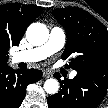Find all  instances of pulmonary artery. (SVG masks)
<instances>
[{
  "label": "pulmonary artery",
  "instance_id": "obj_1",
  "mask_svg": "<svg viewBox=\"0 0 108 108\" xmlns=\"http://www.w3.org/2000/svg\"><path fill=\"white\" fill-rule=\"evenodd\" d=\"M65 43V32L59 27H53L50 31L48 41L39 47L21 51L13 54L12 61L14 63L18 62H38L50 55L59 51ZM77 75L76 71L70 73V78H74Z\"/></svg>",
  "mask_w": 108,
  "mask_h": 108
}]
</instances>
